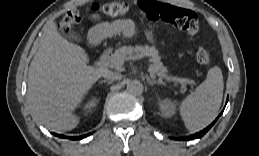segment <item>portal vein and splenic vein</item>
<instances>
[{
  "instance_id": "18ae733b",
  "label": "portal vein and splenic vein",
  "mask_w": 259,
  "mask_h": 156,
  "mask_svg": "<svg viewBox=\"0 0 259 156\" xmlns=\"http://www.w3.org/2000/svg\"><path fill=\"white\" fill-rule=\"evenodd\" d=\"M148 71L151 73V76L154 77V69L152 67L148 68ZM168 80L179 82L181 84H186V83H192V81H189L188 79L185 78H177V77H168Z\"/></svg>"
}]
</instances>
